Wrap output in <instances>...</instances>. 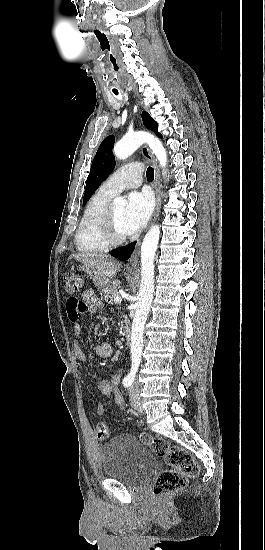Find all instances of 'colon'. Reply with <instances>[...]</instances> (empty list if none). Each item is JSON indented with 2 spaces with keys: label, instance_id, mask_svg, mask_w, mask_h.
Returning <instances> with one entry per match:
<instances>
[{
  "label": "colon",
  "instance_id": "5ec220e1",
  "mask_svg": "<svg viewBox=\"0 0 265 550\" xmlns=\"http://www.w3.org/2000/svg\"><path fill=\"white\" fill-rule=\"evenodd\" d=\"M65 291L69 295H77L82 292L85 281L82 275L75 272L64 274ZM75 312L70 315V320L76 323L84 304L81 300L74 299L68 303ZM98 440L105 441L109 437V429L106 424L99 423L96 427ZM141 441L147 445L157 456L164 458L170 469L162 471L153 487L155 497L173 493L185 487L187 481L198 475L199 467L192 455L185 449L171 445L165 439L143 433Z\"/></svg>",
  "mask_w": 265,
  "mask_h": 550
}]
</instances>
